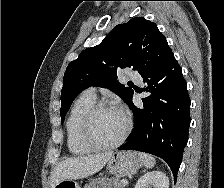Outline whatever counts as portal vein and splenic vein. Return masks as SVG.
Wrapping results in <instances>:
<instances>
[{
	"instance_id": "18ae733b",
	"label": "portal vein and splenic vein",
	"mask_w": 224,
	"mask_h": 188,
	"mask_svg": "<svg viewBox=\"0 0 224 188\" xmlns=\"http://www.w3.org/2000/svg\"><path fill=\"white\" fill-rule=\"evenodd\" d=\"M121 184L126 186V185H128V181L123 179V180H121Z\"/></svg>"
}]
</instances>
